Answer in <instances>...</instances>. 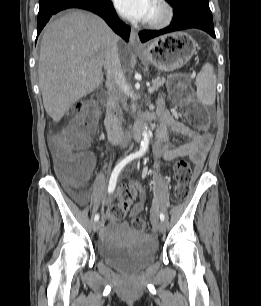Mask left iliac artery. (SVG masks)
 <instances>
[{
    "instance_id": "44dca946",
    "label": "left iliac artery",
    "mask_w": 261,
    "mask_h": 306,
    "mask_svg": "<svg viewBox=\"0 0 261 306\" xmlns=\"http://www.w3.org/2000/svg\"><path fill=\"white\" fill-rule=\"evenodd\" d=\"M164 219H165V216H164V214L161 212V213H160V220H161V221H164Z\"/></svg>"
}]
</instances>
